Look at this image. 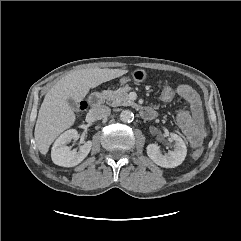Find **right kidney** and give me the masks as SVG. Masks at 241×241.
I'll list each match as a JSON object with an SVG mask.
<instances>
[{"label":"right kidney","mask_w":241,"mask_h":241,"mask_svg":"<svg viewBox=\"0 0 241 241\" xmlns=\"http://www.w3.org/2000/svg\"><path fill=\"white\" fill-rule=\"evenodd\" d=\"M78 132L75 129H70L62 133L54 142L51 158L52 161L59 166L63 167H74L81 163L86 156L89 154L92 142L87 141L82 146H80L79 151L70 150L66 145L71 140L77 138Z\"/></svg>","instance_id":"obj_1"}]
</instances>
